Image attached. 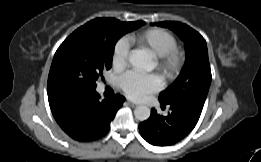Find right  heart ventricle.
I'll return each instance as SVG.
<instances>
[{
  "label": "right heart ventricle",
  "mask_w": 261,
  "mask_h": 162,
  "mask_svg": "<svg viewBox=\"0 0 261 162\" xmlns=\"http://www.w3.org/2000/svg\"><path fill=\"white\" fill-rule=\"evenodd\" d=\"M127 41L148 49L156 57L164 55L177 46L175 37L161 28H150L139 33L130 34Z\"/></svg>",
  "instance_id": "1"
}]
</instances>
